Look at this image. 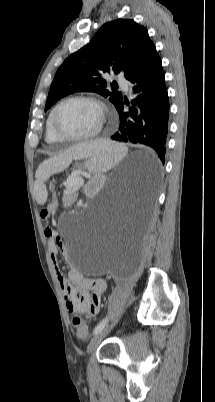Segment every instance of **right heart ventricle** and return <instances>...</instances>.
Here are the masks:
<instances>
[{
    "label": "right heart ventricle",
    "mask_w": 215,
    "mask_h": 402,
    "mask_svg": "<svg viewBox=\"0 0 215 402\" xmlns=\"http://www.w3.org/2000/svg\"><path fill=\"white\" fill-rule=\"evenodd\" d=\"M51 117L52 111L49 113L48 118L46 120V129H45V140L50 144H57L61 143L63 140L60 139L53 131L51 125Z\"/></svg>",
    "instance_id": "obj_1"
}]
</instances>
